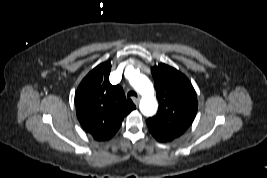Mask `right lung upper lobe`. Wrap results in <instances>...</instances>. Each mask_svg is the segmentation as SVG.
Returning <instances> with one entry per match:
<instances>
[{
    "label": "right lung upper lobe",
    "mask_w": 267,
    "mask_h": 178,
    "mask_svg": "<svg viewBox=\"0 0 267 178\" xmlns=\"http://www.w3.org/2000/svg\"><path fill=\"white\" fill-rule=\"evenodd\" d=\"M111 64L101 63L82 80L75 94L77 118L83 129L97 141H106L136 107L126 99L120 85H111Z\"/></svg>",
    "instance_id": "obj_1"
}]
</instances>
